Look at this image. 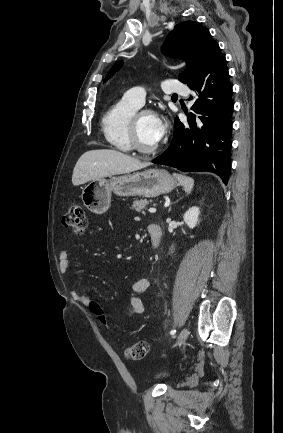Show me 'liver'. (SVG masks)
I'll use <instances>...</instances> for the list:
<instances>
[{"label": "liver", "instance_id": "6515ba94", "mask_svg": "<svg viewBox=\"0 0 283 433\" xmlns=\"http://www.w3.org/2000/svg\"><path fill=\"white\" fill-rule=\"evenodd\" d=\"M150 162H140L139 158H132L129 154L119 152V150H87L78 158L73 174V184H84L94 178H104L111 174H123V172H132L149 166Z\"/></svg>", "mask_w": 283, "mask_h": 433}]
</instances>
